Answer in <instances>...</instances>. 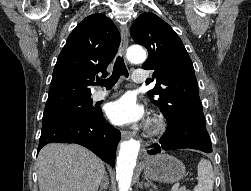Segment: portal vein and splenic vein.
<instances>
[{
	"instance_id": "1",
	"label": "portal vein and splenic vein",
	"mask_w": 251,
	"mask_h": 191,
	"mask_svg": "<svg viewBox=\"0 0 251 191\" xmlns=\"http://www.w3.org/2000/svg\"><path fill=\"white\" fill-rule=\"evenodd\" d=\"M178 186H179V183L174 184L171 191H176Z\"/></svg>"
}]
</instances>
